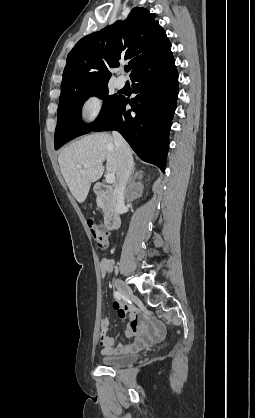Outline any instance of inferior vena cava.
Returning <instances> with one entry per match:
<instances>
[{
    "mask_svg": "<svg viewBox=\"0 0 255 418\" xmlns=\"http://www.w3.org/2000/svg\"><path fill=\"white\" fill-rule=\"evenodd\" d=\"M113 138L118 151V174L114 189V205L117 213L124 206V193L133 170V157L131 149L120 133L113 131Z\"/></svg>",
    "mask_w": 255,
    "mask_h": 418,
    "instance_id": "obj_1",
    "label": "inferior vena cava"
}]
</instances>
